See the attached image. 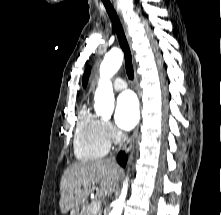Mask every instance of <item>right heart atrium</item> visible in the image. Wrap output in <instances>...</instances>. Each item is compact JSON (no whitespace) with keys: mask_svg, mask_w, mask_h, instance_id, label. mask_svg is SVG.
<instances>
[{"mask_svg":"<svg viewBox=\"0 0 221 215\" xmlns=\"http://www.w3.org/2000/svg\"><path fill=\"white\" fill-rule=\"evenodd\" d=\"M102 133L108 141H116L119 138V133L109 121H102Z\"/></svg>","mask_w":221,"mask_h":215,"instance_id":"obj_1","label":"right heart atrium"}]
</instances>
